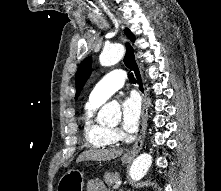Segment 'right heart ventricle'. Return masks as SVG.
I'll list each match as a JSON object with an SVG mask.
<instances>
[{
    "instance_id": "1",
    "label": "right heart ventricle",
    "mask_w": 221,
    "mask_h": 191,
    "mask_svg": "<svg viewBox=\"0 0 221 191\" xmlns=\"http://www.w3.org/2000/svg\"><path fill=\"white\" fill-rule=\"evenodd\" d=\"M101 104L87 101L83 110V134L86 143L94 148H107L116 142L113 130L95 119V113Z\"/></svg>"
}]
</instances>
